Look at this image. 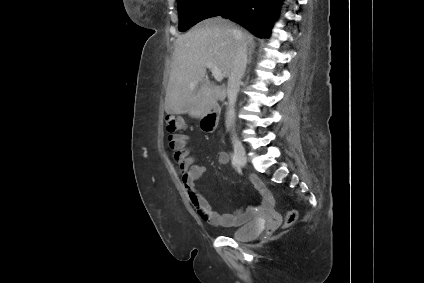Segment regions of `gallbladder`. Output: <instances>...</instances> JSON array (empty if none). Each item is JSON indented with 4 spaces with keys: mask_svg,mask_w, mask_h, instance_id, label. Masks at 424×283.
Instances as JSON below:
<instances>
[{
    "mask_svg": "<svg viewBox=\"0 0 424 283\" xmlns=\"http://www.w3.org/2000/svg\"><path fill=\"white\" fill-rule=\"evenodd\" d=\"M202 82H200V84L198 85L197 89H199L201 87Z\"/></svg>",
    "mask_w": 424,
    "mask_h": 283,
    "instance_id": "1",
    "label": "gallbladder"
}]
</instances>
